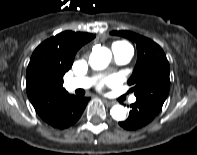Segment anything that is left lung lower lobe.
<instances>
[{
	"mask_svg": "<svg viewBox=\"0 0 197 155\" xmlns=\"http://www.w3.org/2000/svg\"><path fill=\"white\" fill-rule=\"evenodd\" d=\"M132 110L126 121L119 122V125L127 130H136L147 125L159 113L148 105L136 101L131 105Z\"/></svg>",
	"mask_w": 197,
	"mask_h": 155,
	"instance_id": "left-lung-lower-lobe-1",
	"label": "left lung lower lobe"
}]
</instances>
